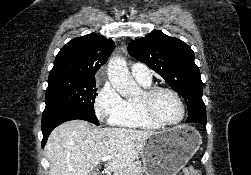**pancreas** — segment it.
<instances>
[{
	"label": "pancreas",
	"mask_w": 251,
	"mask_h": 175,
	"mask_svg": "<svg viewBox=\"0 0 251 175\" xmlns=\"http://www.w3.org/2000/svg\"><path fill=\"white\" fill-rule=\"evenodd\" d=\"M143 171L144 167H142L141 161H133V163L115 171V175H143Z\"/></svg>",
	"instance_id": "1"
}]
</instances>
